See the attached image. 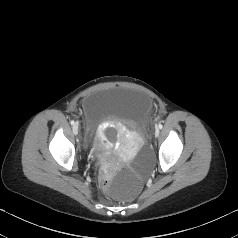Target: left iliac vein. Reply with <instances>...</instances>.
I'll return each mask as SVG.
<instances>
[{
    "label": "left iliac vein",
    "mask_w": 238,
    "mask_h": 238,
    "mask_svg": "<svg viewBox=\"0 0 238 238\" xmlns=\"http://www.w3.org/2000/svg\"><path fill=\"white\" fill-rule=\"evenodd\" d=\"M159 133H160V130L158 127H156L155 129V136L158 137L159 136Z\"/></svg>",
    "instance_id": "left-iliac-vein-1"
}]
</instances>
